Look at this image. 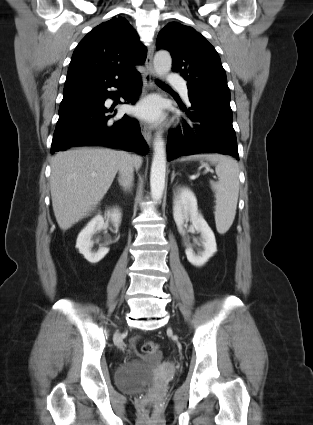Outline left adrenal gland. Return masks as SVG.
Masks as SVG:
<instances>
[{"instance_id": "a2214340", "label": "left adrenal gland", "mask_w": 313, "mask_h": 425, "mask_svg": "<svg viewBox=\"0 0 313 425\" xmlns=\"http://www.w3.org/2000/svg\"><path fill=\"white\" fill-rule=\"evenodd\" d=\"M176 175H179V173H175V171L173 170L171 175V183L173 182Z\"/></svg>"}]
</instances>
